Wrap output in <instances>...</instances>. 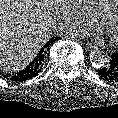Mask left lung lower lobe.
Here are the masks:
<instances>
[{"label":"left lung lower lobe","mask_w":118,"mask_h":118,"mask_svg":"<svg viewBox=\"0 0 118 118\" xmlns=\"http://www.w3.org/2000/svg\"><path fill=\"white\" fill-rule=\"evenodd\" d=\"M101 79L111 83H118V51L109 54L108 61L98 70Z\"/></svg>","instance_id":"obj_1"}]
</instances>
